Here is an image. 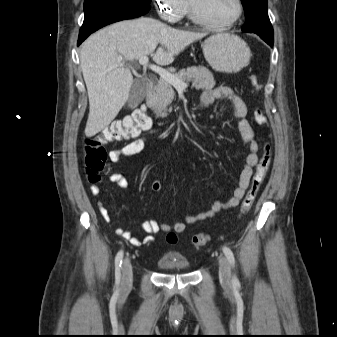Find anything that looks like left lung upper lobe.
Here are the masks:
<instances>
[{
    "mask_svg": "<svg viewBox=\"0 0 337 337\" xmlns=\"http://www.w3.org/2000/svg\"><path fill=\"white\" fill-rule=\"evenodd\" d=\"M245 9L246 22L242 27L245 32H254L273 37V28L268 17L267 0H241Z\"/></svg>",
    "mask_w": 337,
    "mask_h": 337,
    "instance_id": "left-lung-upper-lobe-1",
    "label": "left lung upper lobe"
}]
</instances>
